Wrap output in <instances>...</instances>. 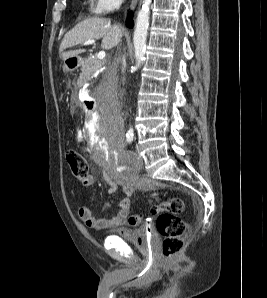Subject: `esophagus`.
<instances>
[{
	"mask_svg": "<svg viewBox=\"0 0 267 298\" xmlns=\"http://www.w3.org/2000/svg\"><path fill=\"white\" fill-rule=\"evenodd\" d=\"M137 2L138 0H132L130 4V8L133 9L136 6Z\"/></svg>",
	"mask_w": 267,
	"mask_h": 298,
	"instance_id": "1",
	"label": "esophagus"
}]
</instances>
